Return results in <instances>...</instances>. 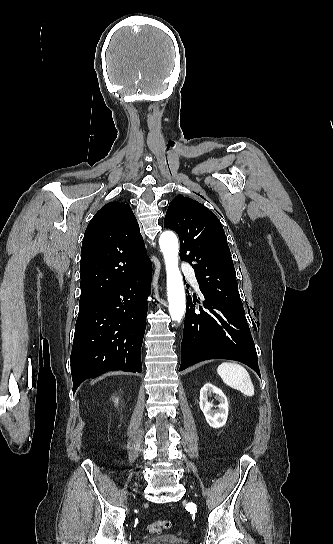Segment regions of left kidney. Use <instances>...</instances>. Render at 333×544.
<instances>
[{
  "mask_svg": "<svg viewBox=\"0 0 333 544\" xmlns=\"http://www.w3.org/2000/svg\"><path fill=\"white\" fill-rule=\"evenodd\" d=\"M212 393L216 395L215 399L219 402V404L215 406L218 407L217 410H213V403L208 401V397H210ZM199 406L205 416L206 422L210 427L220 428L226 424L229 409L228 401L222 390L213 384L206 383L201 388Z\"/></svg>",
  "mask_w": 333,
  "mask_h": 544,
  "instance_id": "left-kidney-1",
  "label": "left kidney"
}]
</instances>
